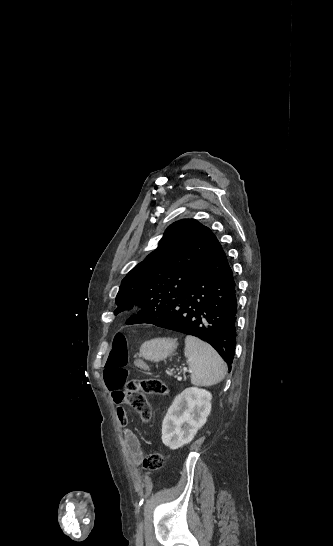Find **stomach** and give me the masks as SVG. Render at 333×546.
<instances>
[{
  "label": "stomach",
  "mask_w": 333,
  "mask_h": 546,
  "mask_svg": "<svg viewBox=\"0 0 333 546\" xmlns=\"http://www.w3.org/2000/svg\"><path fill=\"white\" fill-rule=\"evenodd\" d=\"M177 340L170 338H155L144 342L140 347L139 356L153 362L165 360L177 348Z\"/></svg>",
  "instance_id": "0dacf381"
}]
</instances>
